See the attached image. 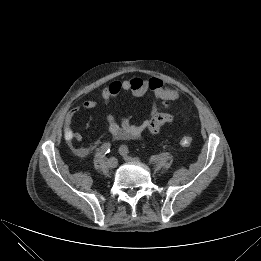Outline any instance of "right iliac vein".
<instances>
[{
  "mask_svg": "<svg viewBox=\"0 0 261 261\" xmlns=\"http://www.w3.org/2000/svg\"><path fill=\"white\" fill-rule=\"evenodd\" d=\"M107 165H108V167L111 168V169L116 168L117 165H118V160H117V158H115V157L109 158L108 161H107Z\"/></svg>",
  "mask_w": 261,
  "mask_h": 261,
  "instance_id": "right-iliac-vein-1",
  "label": "right iliac vein"
}]
</instances>
